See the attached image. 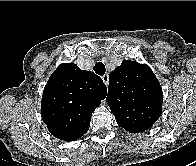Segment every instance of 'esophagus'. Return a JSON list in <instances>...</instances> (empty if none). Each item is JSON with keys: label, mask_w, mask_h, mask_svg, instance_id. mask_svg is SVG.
Listing matches in <instances>:
<instances>
[{"label": "esophagus", "mask_w": 196, "mask_h": 166, "mask_svg": "<svg viewBox=\"0 0 196 166\" xmlns=\"http://www.w3.org/2000/svg\"><path fill=\"white\" fill-rule=\"evenodd\" d=\"M102 80L105 83V85L108 86V84H109V75L108 74L103 75Z\"/></svg>", "instance_id": "34e87169"}]
</instances>
